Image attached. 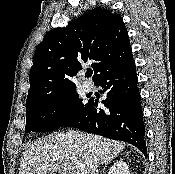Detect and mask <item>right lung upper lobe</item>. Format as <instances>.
Instances as JSON below:
<instances>
[{
	"label": "right lung upper lobe",
	"instance_id": "right-lung-upper-lobe-1",
	"mask_svg": "<svg viewBox=\"0 0 175 174\" xmlns=\"http://www.w3.org/2000/svg\"><path fill=\"white\" fill-rule=\"evenodd\" d=\"M130 52L122 17L94 8L66 27L55 28L45 35L33 57L26 104L75 88L71 78L82 69V63H91L95 83L108 67Z\"/></svg>",
	"mask_w": 175,
	"mask_h": 174
}]
</instances>
